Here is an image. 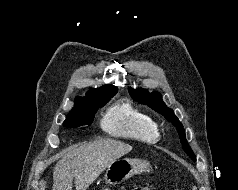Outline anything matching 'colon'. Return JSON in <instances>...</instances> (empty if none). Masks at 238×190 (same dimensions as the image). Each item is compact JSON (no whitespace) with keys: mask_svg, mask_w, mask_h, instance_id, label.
<instances>
[{"mask_svg":"<svg viewBox=\"0 0 238 190\" xmlns=\"http://www.w3.org/2000/svg\"><path fill=\"white\" fill-rule=\"evenodd\" d=\"M132 190H153V189H150V188H147V187H135Z\"/></svg>","mask_w":238,"mask_h":190,"instance_id":"colon-1","label":"colon"}]
</instances>
